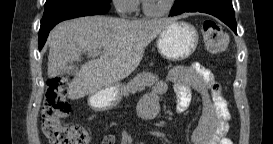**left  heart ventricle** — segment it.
<instances>
[{
  "mask_svg": "<svg viewBox=\"0 0 273 144\" xmlns=\"http://www.w3.org/2000/svg\"><path fill=\"white\" fill-rule=\"evenodd\" d=\"M169 0H145L147 6L152 10L163 8Z\"/></svg>",
  "mask_w": 273,
  "mask_h": 144,
  "instance_id": "obj_1",
  "label": "left heart ventricle"
}]
</instances>
